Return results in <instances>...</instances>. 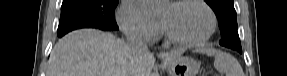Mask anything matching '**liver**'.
Here are the masks:
<instances>
[{
    "label": "liver",
    "instance_id": "1",
    "mask_svg": "<svg viewBox=\"0 0 287 76\" xmlns=\"http://www.w3.org/2000/svg\"><path fill=\"white\" fill-rule=\"evenodd\" d=\"M179 52L160 53L164 70ZM152 53L132 54L127 43L111 33L79 29L62 37L49 59L47 76H152Z\"/></svg>",
    "mask_w": 287,
    "mask_h": 76
}]
</instances>
